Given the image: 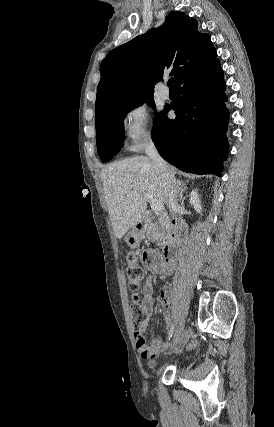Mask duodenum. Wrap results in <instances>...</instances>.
I'll return each mask as SVG.
<instances>
[{
	"mask_svg": "<svg viewBox=\"0 0 274 427\" xmlns=\"http://www.w3.org/2000/svg\"><path fill=\"white\" fill-rule=\"evenodd\" d=\"M144 227L143 222H139L136 226L138 233H142ZM178 232V223L176 220H173L170 224V230L168 234L161 241L162 255L165 260L172 259V250L175 244V240Z\"/></svg>",
	"mask_w": 274,
	"mask_h": 427,
	"instance_id": "obj_1",
	"label": "duodenum"
}]
</instances>
